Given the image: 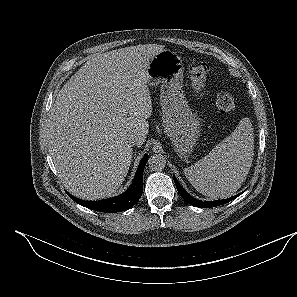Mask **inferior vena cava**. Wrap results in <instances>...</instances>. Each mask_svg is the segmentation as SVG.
<instances>
[{
	"label": "inferior vena cava",
	"instance_id": "1",
	"mask_svg": "<svg viewBox=\"0 0 297 297\" xmlns=\"http://www.w3.org/2000/svg\"><path fill=\"white\" fill-rule=\"evenodd\" d=\"M128 145L135 146L139 143V138L136 135H130L127 140Z\"/></svg>",
	"mask_w": 297,
	"mask_h": 297
}]
</instances>
